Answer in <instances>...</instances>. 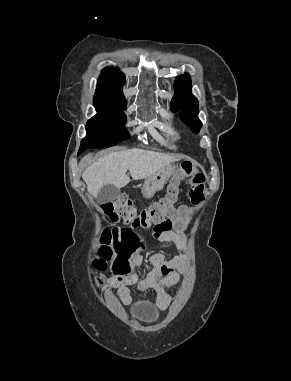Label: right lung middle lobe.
Here are the masks:
<instances>
[{"label": "right lung middle lobe", "mask_w": 291, "mask_h": 381, "mask_svg": "<svg viewBox=\"0 0 291 381\" xmlns=\"http://www.w3.org/2000/svg\"><path fill=\"white\" fill-rule=\"evenodd\" d=\"M97 114L86 124V137L81 141L82 151L88 148H107L127 139L129 135L122 128L126 117L125 104L94 99Z\"/></svg>", "instance_id": "right-lung-middle-lobe-1"}]
</instances>
